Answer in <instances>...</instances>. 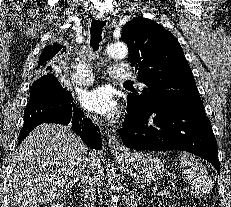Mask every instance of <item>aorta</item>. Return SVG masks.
Masks as SVG:
<instances>
[{"instance_id":"aorta-1","label":"aorta","mask_w":231,"mask_h":207,"mask_svg":"<svg viewBox=\"0 0 231 207\" xmlns=\"http://www.w3.org/2000/svg\"><path fill=\"white\" fill-rule=\"evenodd\" d=\"M105 54L113 59H123L128 55V48L122 42L113 43L106 47ZM109 207H117V201H112Z\"/></svg>"}]
</instances>
